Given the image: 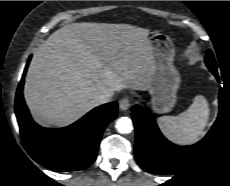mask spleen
<instances>
[{
	"instance_id": "obj_1",
	"label": "spleen",
	"mask_w": 230,
	"mask_h": 186,
	"mask_svg": "<svg viewBox=\"0 0 230 186\" xmlns=\"http://www.w3.org/2000/svg\"><path fill=\"white\" fill-rule=\"evenodd\" d=\"M206 98L197 95L190 107L177 116H162L158 124L163 134L178 144H193L203 134L209 118Z\"/></svg>"
}]
</instances>
